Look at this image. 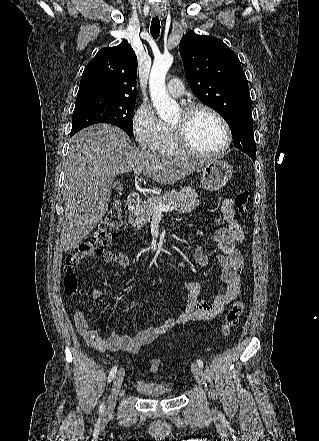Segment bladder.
<instances>
[{"mask_svg":"<svg viewBox=\"0 0 319 441\" xmlns=\"http://www.w3.org/2000/svg\"><path fill=\"white\" fill-rule=\"evenodd\" d=\"M136 388L147 397L163 398L173 395V389L169 383L157 384L146 379H140L136 383Z\"/></svg>","mask_w":319,"mask_h":441,"instance_id":"1","label":"bladder"}]
</instances>
